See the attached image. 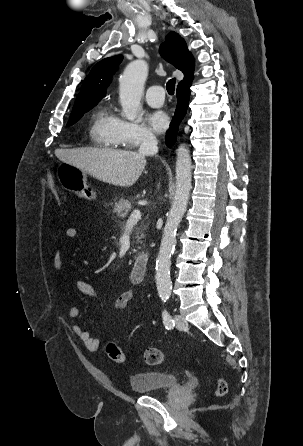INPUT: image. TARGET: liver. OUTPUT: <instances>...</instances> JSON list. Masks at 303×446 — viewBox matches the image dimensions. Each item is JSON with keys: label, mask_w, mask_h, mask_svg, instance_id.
Wrapping results in <instances>:
<instances>
[{"label": "liver", "mask_w": 303, "mask_h": 446, "mask_svg": "<svg viewBox=\"0 0 303 446\" xmlns=\"http://www.w3.org/2000/svg\"><path fill=\"white\" fill-rule=\"evenodd\" d=\"M55 155L62 162L74 165L100 181L120 187L135 184L146 165L145 155L128 150L57 149Z\"/></svg>", "instance_id": "liver-1"}]
</instances>
